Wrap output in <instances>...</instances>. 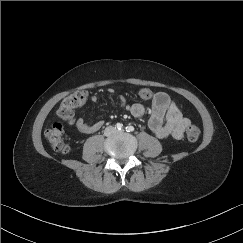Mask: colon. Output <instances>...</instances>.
<instances>
[{"label": "colon", "instance_id": "colon-1", "mask_svg": "<svg viewBox=\"0 0 243 243\" xmlns=\"http://www.w3.org/2000/svg\"><path fill=\"white\" fill-rule=\"evenodd\" d=\"M87 92L84 90H78L73 94L64 98L57 109V114L60 118L68 122L73 123L74 110L83 105L87 100ZM45 136L50 142L53 149L60 153H67L69 151L68 145L63 139V128L59 123H53L45 130ZM200 136V130L194 125H190L187 128V138L190 141L198 140Z\"/></svg>", "mask_w": 243, "mask_h": 243}]
</instances>
